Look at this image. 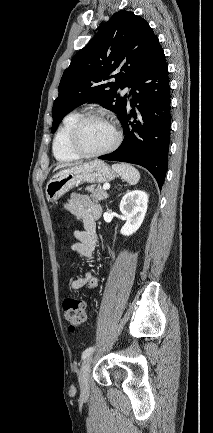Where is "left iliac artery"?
<instances>
[{"instance_id":"44dca946","label":"left iliac artery","mask_w":213,"mask_h":433,"mask_svg":"<svg viewBox=\"0 0 213 433\" xmlns=\"http://www.w3.org/2000/svg\"><path fill=\"white\" fill-rule=\"evenodd\" d=\"M94 351V347H89L87 348L83 353H82V359L87 358L92 352Z\"/></svg>"}]
</instances>
